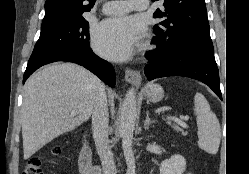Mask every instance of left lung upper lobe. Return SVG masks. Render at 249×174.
Returning <instances> with one entry per match:
<instances>
[{"instance_id": "left-lung-upper-lobe-1", "label": "left lung upper lobe", "mask_w": 249, "mask_h": 174, "mask_svg": "<svg viewBox=\"0 0 249 174\" xmlns=\"http://www.w3.org/2000/svg\"><path fill=\"white\" fill-rule=\"evenodd\" d=\"M163 6V11L157 9L153 14L165 19L154 26L152 40L168 52L212 44L204 0H164Z\"/></svg>"}]
</instances>
